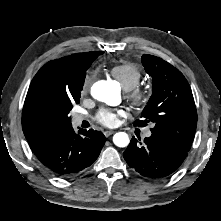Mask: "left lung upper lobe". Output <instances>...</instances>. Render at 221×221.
Listing matches in <instances>:
<instances>
[{
    "mask_svg": "<svg viewBox=\"0 0 221 221\" xmlns=\"http://www.w3.org/2000/svg\"><path fill=\"white\" fill-rule=\"evenodd\" d=\"M145 71L152 77L153 93L142 111L143 120L136 126L152 122V134L163 137L185 151L194 140L197 112L191 88L181 72L163 59L144 54Z\"/></svg>",
    "mask_w": 221,
    "mask_h": 221,
    "instance_id": "5c2ea615",
    "label": "left lung upper lobe"
}]
</instances>
